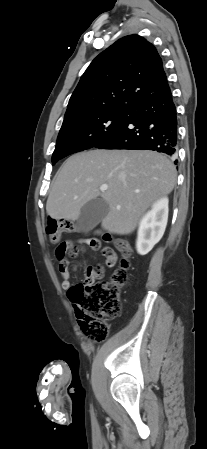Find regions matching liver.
Here are the masks:
<instances>
[{
  "label": "liver",
  "instance_id": "1",
  "mask_svg": "<svg viewBox=\"0 0 207 449\" xmlns=\"http://www.w3.org/2000/svg\"><path fill=\"white\" fill-rule=\"evenodd\" d=\"M176 168L155 151L90 150L69 157L54 178L46 203L56 220L78 219L81 208L102 197L109 212L102 228L110 233H132L146 210L175 186ZM108 185L105 191L101 185Z\"/></svg>",
  "mask_w": 207,
  "mask_h": 449
}]
</instances>
